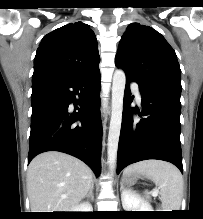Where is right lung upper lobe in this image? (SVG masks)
<instances>
[{
    "label": "right lung upper lobe",
    "mask_w": 203,
    "mask_h": 219,
    "mask_svg": "<svg viewBox=\"0 0 203 219\" xmlns=\"http://www.w3.org/2000/svg\"><path fill=\"white\" fill-rule=\"evenodd\" d=\"M99 62L97 40L89 25L70 23L42 39L34 58L32 81L90 74L99 70Z\"/></svg>",
    "instance_id": "right-lung-upper-lobe-1"
}]
</instances>
